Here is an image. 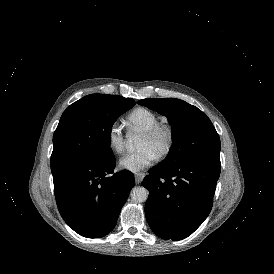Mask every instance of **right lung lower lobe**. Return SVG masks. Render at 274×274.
<instances>
[{"label": "right lung lower lobe", "instance_id": "right-lung-lower-lobe-1", "mask_svg": "<svg viewBox=\"0 0 274 274\" xmlns=\"http://www.w3.org/2000/svg\"><path fill=\"white\" fill-rule=\"evenodd\" d=\"M115 159L76 160L51 167L57 206L65 222L78 234L99 238L111 232L134 186L133 174L113 175Z\"/></svg>", "mask_w": 274, "mask_h": 274}]
</instances>
